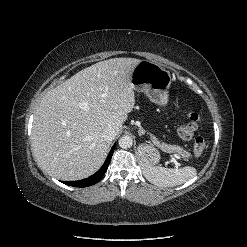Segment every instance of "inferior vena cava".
<instances>
[{"mask_svg":"<svg viewBox=\"0 0 247 247\" xmlns=\"http://www.w3.org/2000/svg\"><path fill=\"white\" fill-rule=\"evenodd\" d=\"M102 136L104 139L112 141L116 136V132L113 128L109 127L103 131Z\"/></svg>","mask_w":247,"mask_h":247,"instance_id":"1","label":"inferior vena cava"}]
</instances>
